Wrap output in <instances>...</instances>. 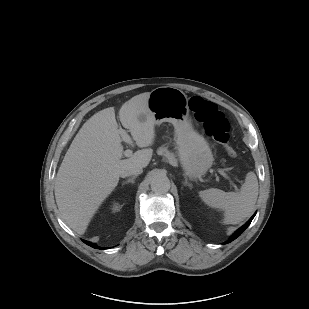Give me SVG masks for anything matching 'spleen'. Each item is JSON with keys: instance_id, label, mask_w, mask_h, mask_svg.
Listing matches in <instances>:
<instances>
[{"instance_id": "3e777b00", "label": "spleen", "mask_w": 309, "mask_h": 309, "mask_svg": "<svg viewBox=\"0 0 309 309\" xmlns=\"http://www.w3.org/2000/svg\"><path fill=\"white\" fill-rule=\"evenodd\" d=\"M199 196L208 206L224 211L226 224H238L254 210L258 197L257 177L253 172H249L239 192H224L211 188L200 191Z\"/></svg>"}]
</instances>
